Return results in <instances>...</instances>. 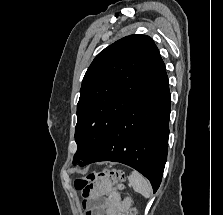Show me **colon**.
Masks as SVG:
<instances>
[{"label":"colon","mask_w":223,"mask_h":215,"mask_svg":"<svg viewBox=\"0 0 223 215\" xmlns=\"http://www.w3.org/2000/svg\"><path fill=\"white\" fill-rule=\"evenodd\" d=\"M106 178L112 179L119 188H122L123 182L125 181V175L123 171L118 169L103 168L100 171L90 172L82 177L77 178L75 180V187L77 190L82 191L85 194L92 188L95 182ZM126 215H137V211L135 208L130 207L126 211Z\"/></svg>","instance_id":"obj_1"}]
</instances>
